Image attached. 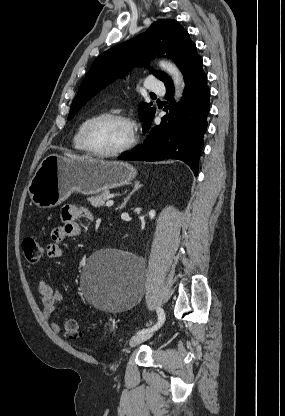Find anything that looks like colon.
<instances>
[{
    "label": "colon",
    "instance_id": "1",
    "mask_svg": "<svg viewBox=\"0 0 285 416\" xmlns=\"http://www.w3.org/2000/svg\"><path fill=\"white\" fill-rule=\"evenodd\" d=\"M22 249L25 256V259L31 265L37 264L43 254V248L39 241L33 237L29 236L23 240ZM65 333L66 336L71 340H79L82 336L79 323L74 319H69L65 322Z\"/></svg>",
    "mask_w": 285,
    "mask_h": 416
}]
</instances>
